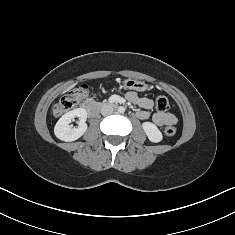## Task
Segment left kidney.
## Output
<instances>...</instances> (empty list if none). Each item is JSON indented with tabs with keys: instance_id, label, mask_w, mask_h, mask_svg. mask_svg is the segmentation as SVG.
Returning a JSON list of instances; mask_svg holds the SVG:
<instances>
[{
	"instance_id": "obj_1",
	"label": "left kidney",
	"mask_w": 235,
	"mask_h": 235,
	"mask_svg": "<svg viewBox=\"0 0 235 235\" xmlns=\"http://www.w3.org/2000/svg\"><path fill=\"white\" fill-rule=\"evenodd\" d=\"M143 130L146 133L148 139L153 143L162 141L163 136L158 127L151 122H144L142 124Z\"/></svg>"
}]
</instances>
